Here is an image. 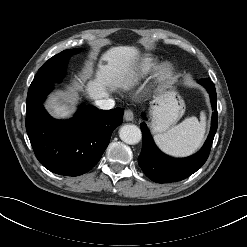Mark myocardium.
I'll return each mask as SVG.
<instances>
[{
	"mask_svg": "<svg viewBox=\"0 0 247 247\" xmlns=\"http://www.w3.org/2000/svg\"><path fill=\"white\" fill-rule=\"evenodd\" d=\"M173 73V65L170 62H163L157 67L154 77L157 83L162 84L171 79Z\"/></svg>",
	"mask_w": 247,
	"mask_h": 247,
	"instance_id": "myocardium-1",
	"label": "myocardium"
}]
</instances>
